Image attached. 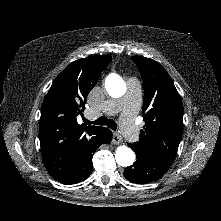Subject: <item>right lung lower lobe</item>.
<instances>
[{
	"label": "right lung lower lobe",
	"mask_w": 221,
	"mask_h": 221,
	"mask_svg": "<svg viewBox=\"0 0 221 221\" xmlns=\"http://www.w3.org/2000/svg\"><path fill=\"white\" fill-rule=\"evenodd\" d=\"M112 140V132L102 127L98 134L88 141L80 150L72 172L61 183L70 185L87 179L92 172V157L94 152L102 144H108Z\"/></svg>",
	"instance_id": "obj_1"
}]
</instances>
